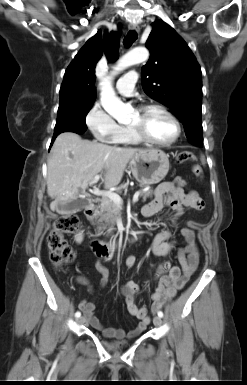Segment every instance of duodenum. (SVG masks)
Segmentation results:
<instances>
[{"mask_svg": "<svg viewBox=\"0 0 247 385\" xmlns=\"http://www.w3.org/2000/svg\"><path fill=\"white\" fill-rule=\"evenodd\" d=\"M99 209L97 205H90L85 209V215L89 220H95L98 215ZM142 233L139 230H135L131 236H129V241H135L141 237ZM93 251L99 255L108 257L115 251V245L108 244L102 241L93 240L91 242Z\"/></svg>", "mask_w": 247, "mask_h": 385, "instance_id": "410a0bca", "label": "duodenum"}]
</instances>
